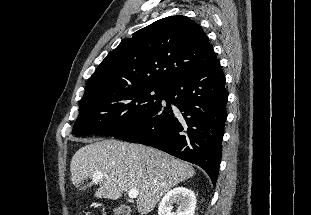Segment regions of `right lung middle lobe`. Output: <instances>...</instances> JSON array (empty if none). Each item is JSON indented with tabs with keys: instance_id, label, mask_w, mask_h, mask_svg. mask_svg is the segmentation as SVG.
<instances>
[{
	"instance_id": "right-lung-middle-lobe-1",
	"label": "right lung middle lobe",
	"mask_w": 311,
	"mask_h": 215,
	"mask_svg": "<svg viewBox=\"0 0 311 215\" xmlns=\"http://www.w3.org/2000/svg\"><path fill=\"white\" fill-rule=\"evenodd\" d=\"M163 87H134L81 99L74 135L115 136L126 132L161 104Z\"/></svg>"
}]
</instances>
